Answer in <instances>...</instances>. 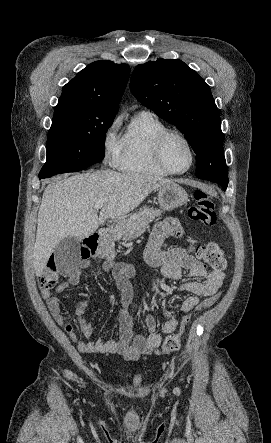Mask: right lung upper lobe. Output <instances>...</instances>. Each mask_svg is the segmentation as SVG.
I'll return each instance as SVG.
<instances>
[{"label":"right lung upper lobe","mask_w":271,"mask_h":443,"mask_svg":"<svg viewBox=\"0 0 271 443\" xmlns=\"http://www.w3.org/2000/svg\"><path fill=\"white\" fill-rule=\"evenodd\" d=\"M129 75L126 64L93 62L63 87L56 107L71 106L95 118L115 116Z\"/></svg>","instance_id":"cb5924a9"}]
</instances>
